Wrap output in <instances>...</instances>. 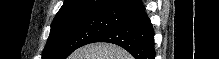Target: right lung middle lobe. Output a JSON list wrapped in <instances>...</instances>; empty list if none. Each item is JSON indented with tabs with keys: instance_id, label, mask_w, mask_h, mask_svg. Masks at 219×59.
Here are the masks:
<instances>
[{
	"instance_id": "obj_1",
	"label": "right lung middle lobe",
	"mask_w": 219,
	"mask_h": 59,
	"mask_svg": "<svg viewBox=\"0 0 219 59\" xmlns=\"http://www.w3.org/2000/svg\"><path fill=\"white\" fill-rule=\"evenodd\" d=\"M124 16L112 10H90L55 18L42 59H65L77 48L119 24Z\"/></svg>"
}]
</instances>
